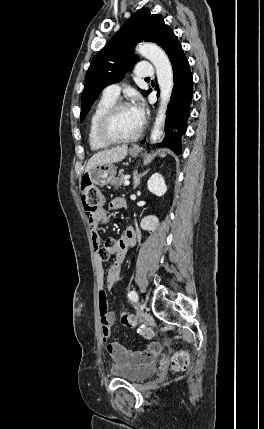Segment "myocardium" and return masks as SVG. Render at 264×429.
Wrapping results in <instances>:
<instances>
[{
	"mask_svg": "<svg viewBox=\"0 0 264 429\" xmlns=\"http://www.w3.org/2000/svg\"><path fill=\"white\" fill-rule=\"evenodd\" d=\"M126 107H131L128 102L125 101H117L114 102L101 116L98 125H97V134L98 137L107 144H120V143H128L137 140L144 131L145 122L142 121L139 129L131 136L125 138H119L113 136L109 132V123L113 116L120 110Z\"/></svg>",
	"mask_w": 264,
	"mask_h": 429,
	"instance_id": "f54148a6",
	"label": "myocardium"
}]
</instances>
